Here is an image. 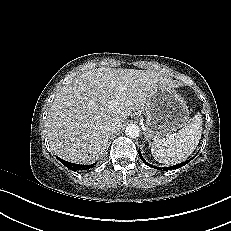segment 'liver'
Here are the masks:
<instances>
[{
	"instance_id": "1",
	"label": "liver",
	"mask_w": 231,
	"mask_h": 231,
	"mask_svg": "<svg viewBox=\"0 0 231 231\" xmlns=\"http://www.w3.org/2000/svg\"><path fill=\"white\" fill-rule=\"evenodd\" d=\"M178 86L153 70L101 67L82 73L51 104L45 123L50 147L67 161L93 163L104 155L108 124L122 127L133 110L145 109L159 87ZM117 97L118 104L109 106Z\"/></svg>"
}]
</instances>
